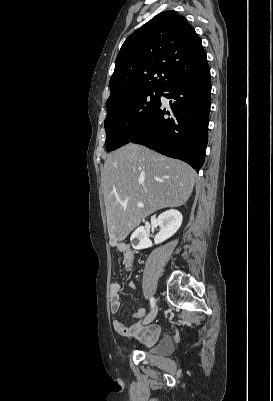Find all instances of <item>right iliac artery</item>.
<instances>
[{
  "label": "right iliac artery",
  "mask_w": 273,
  "mask_h": 401,
  "mask_svg": "<svg viewBox=\"0 0 273 401\" xmlns=\"http://www.w3.org/2000/svg\"><path fill=\"white\" fill-rule=\"evenodd\" d=\"M155 299L153 297L150 298V304H151V308H153L155 306Z\"/></svg>",
  "instance_id": "obj_1"
}]
</instances>
